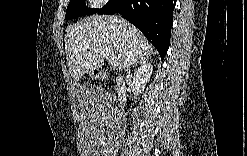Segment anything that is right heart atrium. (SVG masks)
Listing matches in <instances>:
<instances>
[{
    "label": "right heart atrium",
    "mask_w": 247,
    "mask_h": 156,
    "mask_svg": "<svg viewBox=\"0 0 247 156\" xmlns=\"http://www.w3.org/2000/svg\"><path fill=\"white\" fill-rule=\"evenodd\" d=\"M93 3H94V5H96L98 7L103 6V4H104L103 1H99V0L98 1H94Z\"/></svg>",
    "instance_id": "obj_1"
}]
</instances>
